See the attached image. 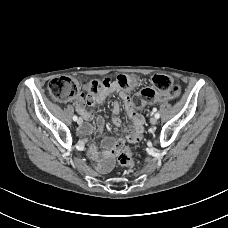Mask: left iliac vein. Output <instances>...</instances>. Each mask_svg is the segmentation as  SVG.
Instances as JSON below:
<instances>
[{
    "instance_id": "left-iliac-vein-1",
    "label": "left iliac vein",
    "mask_w": 228,
    "mask_h": 228,
    "mask_svg": "<svg viewBox=\"0 0 228 228\" xmlns=\"http://www.w3.org/2000/svg\"><path fill=\"white\" fill-rule=\"evenodd\" d=\"M150 123H151L152 125H155V124L157 123V118H156V117H152V118L150 119Z\"/></svg>"
}]
</instances>
